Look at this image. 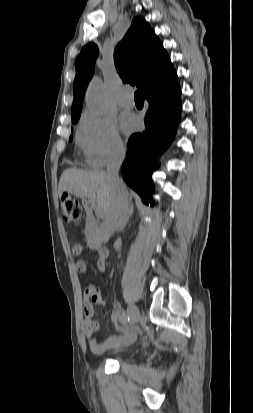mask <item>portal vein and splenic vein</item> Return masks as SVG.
Instances as JSON below:
<instances>
[{"label":"portal vein and splenic vein","instance_id":"1","mask_svg":"<svg viewBox=\"0 0 253 413\" xmlns=\"http://www.w3.org/2000/svg\"><path fill=\"white\" fill-rule=\"evenodd\" d=\"M98 212H101V210H100V209H98Z\"/></svg>","mask_w":253,"mask_h":413}]
</instances>
